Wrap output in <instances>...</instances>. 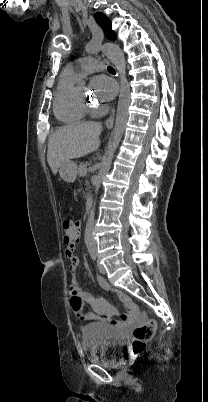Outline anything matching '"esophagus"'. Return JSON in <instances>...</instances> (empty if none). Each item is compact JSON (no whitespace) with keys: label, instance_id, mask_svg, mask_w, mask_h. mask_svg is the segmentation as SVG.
I'll return each instance as SVG.
<instances>
[{"label":"esophagus","instance_id":"obj_1","mask_svg":"<svg viewBox=\"0 0 208 402\" xmlns=\"http://www.w3.org/2000/svg\"><path fill=\"white\" fill-rule=\"evenodd\" d=\"M114 118H115V109L112 108L111 115L109 118L106 120V125L107 126H113L114 124Z\"/></svg>","mask_w":208,"mask_h":402}]
</instances>
